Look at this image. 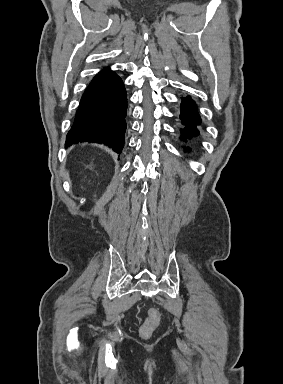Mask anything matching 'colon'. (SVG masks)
<instances>
[{"label": "colon", "mask_w": 283, "mask_h": 384, "mask_svg": "<svg viewBox=\"0 0 283 384\" xmlns=\"http://www.w3.org/2000/svg\"><path fill=\"white\" fill-rule=\"evenodd\" d=\"M147 314V318L140 328V335L143 338L150 337L160 323V314L156 309H148Z\"/></svg>", "instance_id": "1"}]
</instances>
